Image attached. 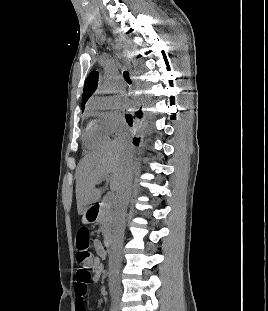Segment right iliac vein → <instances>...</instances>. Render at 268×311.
<instances>
[{
    "mask_svg": "<svg viewBox=\"0 0 268 311\" xmlns=\"http://www.w3.org/2000/svg\"><path fill=\"white\" fill-rule=\"evenodd\" d=\"M110 295L116 311H120V290L117 288H111Z\"/></svg>",
    "mask_w": 268,
    "mask_h": 311,
    "instance_id": "right-iliac-vein-1",
    "label": "right iliac vein"
}]
</instances>
